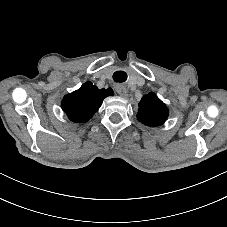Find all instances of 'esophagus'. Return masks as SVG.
<instances>
[{"label":"esophagus","mask_w":227,"mask_h":227,"mask_svg":"<svg viewBox=\"0 0 227 227\" xmlns=\"http://www.w3.org/2000/svg\"><path fill=\"white\" fill-rule=\"evenodd\" d=\"M115 89H116L117 93H118L120 96H122V97H125V96H126L127 91H126L125 86H120V85H118V86L115 87Z\"/></svg>","instance_id":"1"}]
</instances>
